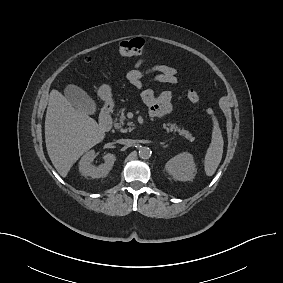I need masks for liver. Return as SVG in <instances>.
Returning <instances> with one entry per match:
<instances>
[{"label":"liver","mask_w":283,"mask_h":283,"mask_svg":"<svg viewBox=\"0 0 283 283\" xmlns=\"http://www.w3.org/2000/svg\"><path fill=\"white\" fill-rule=\"evenodd\" d=\"M104 137L105 132L93 118L75 109L59 91H51L45 118V142L50 160L62 177L67 176L83 153Z\"/></svg>","instance_id":"1"}]
</instances>
